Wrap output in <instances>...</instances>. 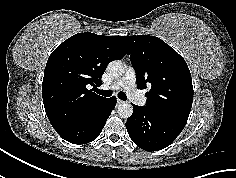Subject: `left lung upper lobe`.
I'll return each mask as SVG.
<instances>
[{
	"instance_id": "left-lung-upper-lobe-1",
	"label": "left lung upper lobe",
	"mask_w": 236,
	"mask_h": 178,
	"mask_svg": "<svg viewBox=\"0 0 236 178\" xmlns=\"http://www.w3.org/2000/svg\"><path fill=\"white\" fill-rule=\"evenodd\" d=\"M140 89L149 110L187 122L193 101L192 78L185 60L155 36H125Z\"/></svg>"
}]
</instances>
